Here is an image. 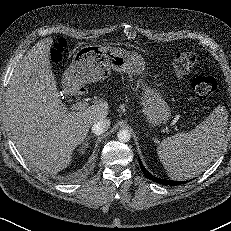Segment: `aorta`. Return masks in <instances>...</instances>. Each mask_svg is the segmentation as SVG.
<instances>
[{
	"mask_svg": "<svg viewBox=\"0 0 231 231\" xmlns=\"http://www.w3.org/2000/svg\"><path fill=\"white\" fill-rule=\"evenodd\" d=\"M117 137H118L119 141H121V142H129L131 139V133L127 129H121L118 132Z\"/></svg>",
	"mask_w": 231,
	"mask_h": 231,
	"instance_id": "762f6f07",
	"label": "aorta"
}]
</instances>
